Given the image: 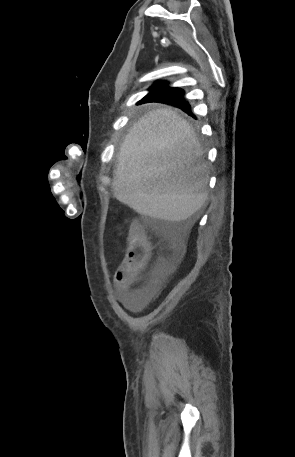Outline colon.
Wrapping results in <instances>:
<instances>
[{"mask_svg":"<svg viewBox=\"0 0 295 457\" xmlns=\"http://www.w3.org/2000/svg\"><path fill=\"white\" fill-rule=\"evenodd\" d=\"M149 255V241L141 227L134 223L128 235L127 252L118 273L125 275L131 282H134L137 274L145 266Z\"/></svg>","mask_w":295,"mask_h":457,"instance_id":"obj_1","label":"colon"}]
</instances>
